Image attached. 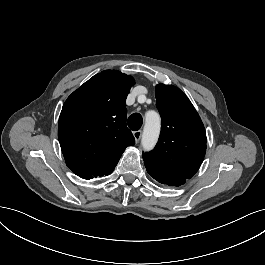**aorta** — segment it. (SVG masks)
I'll use <instances>...</instances> for the list:
<instances>
[{"label": "aorta", "instance_id": "762f6f07", "mask_svg": "<svg viewBox=\"0 0 265 265\" xmlns=\"http://www.w3.org/2000/svg\"><path fill=\"white\" fill-rule=\"evenodd\" d=\"M145 126L143 129L141 145L145 150H151L157 143L159 136V125L153 117H158V113L155 111H148L146 113Z\"/></svg>", "mask_w": 265, "mask_h": 265}]
</instances>
